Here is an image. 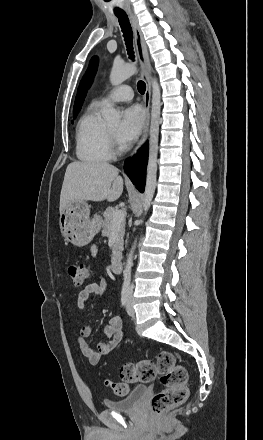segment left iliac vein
<instances>
[{"label": "left iliac vein", "instance_id": "obj_1", "mask_svg": "<svg viewBox=\"0 0 263 440\" xmlns=\"http://www.w3.org/2000/svg\"><path fill=\"white\" fill-rule=\"evenodd\" d=\"M127 313L128 315H133L134 313V310L132 308V298L130 295L128 296Z\"/></svg>", "mask_w": 263, "mask_h": 440}]
</instances>
